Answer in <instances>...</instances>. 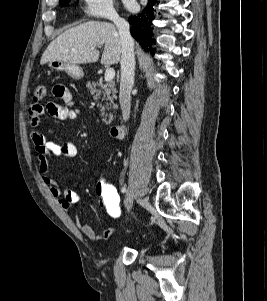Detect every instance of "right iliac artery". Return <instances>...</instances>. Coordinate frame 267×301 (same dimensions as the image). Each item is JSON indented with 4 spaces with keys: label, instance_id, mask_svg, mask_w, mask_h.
<instances>
[{
    "label": "right iliac artery",
    "instance_id": "1",
    "mask_svg": "<svg viewBox=\"0 0 267 301\" xmlns=\"http://www.w3.org/2000/svg\"><path fill=\"white\" fill-rule=\"evenodd\" d=\"M121 192H122V193H125V192H126V188L123 187V188L121 189Z\"/></svg>",
    "mask_w": 267,
    "mask_h": 301
}]
</instances>
